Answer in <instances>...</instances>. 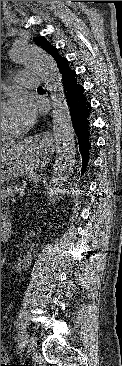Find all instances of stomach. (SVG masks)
Wrapping results in <instances>:
<instances>
[{
    "mask_svg": "<svg viewBox=\"0 0 122 366\" xmlns=\"http://www.w3.org/2000/svg\"><path fill=\"white\" fill-rule=\"evenodd\" d=\"M28 143L30 144V148L36 149L37 144L35 141L31 140ZM24 152L25 149L11 151L6 153L4 158H1V184L9 181L18 174L20 165L23 162Z\"/></svg>",
    "mask_w": 122,
    "mask_h": 366,
    "instance_id": "1",
    "label": "stomach"
}]
</instances>
